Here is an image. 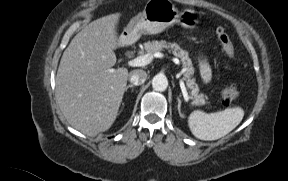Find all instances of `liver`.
I'll use <instances>...</instances> for the list:
<instances>
[{"instance_id": "liver-1", "label": "liver", "mask_w": 288, "mask_h": 181, "mask_svg": "<svg viewBox=\"0 0 288 181\" xmlns=\"http://www.w3.org/2000/svg\"><path fill=\"white\" fill-rule=\"evenodd\" d=\"M120 13L94 20L82 29L63 52L56 75V97L68 123L88 136L114 123L130 73L113 69L114 50L133 39L117 37Z\"/></svg>"}]
</instances>
